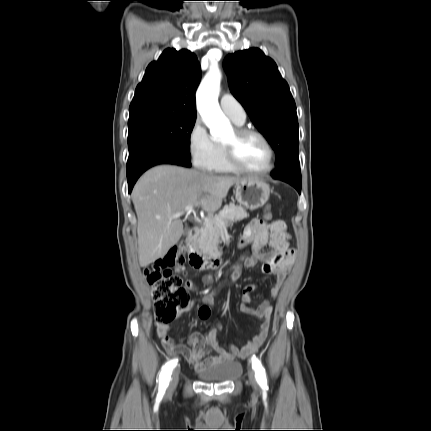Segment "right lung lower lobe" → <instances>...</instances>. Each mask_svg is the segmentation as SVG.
<instances>
[{"label":"right lung lower lobe","mask_w":431,"mask_h":431,"mask_svg":"<svg viewBox=\"0 0 431 431\" xmlns=\"http://www.w3.org/2000/svg\"><path fill=\"white\" fill-rule=\"evenodd\" d=\"M158 164H175L190 167V159L163 144H148L129 154L127 163L128 190L131 192L139 176L152 166Z\"/></svg>","instance_id":"98d812e1"}]
</instances>
